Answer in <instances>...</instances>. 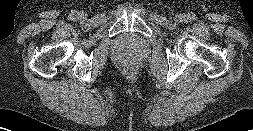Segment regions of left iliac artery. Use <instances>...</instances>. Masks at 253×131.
I'll list each match as a JSON object with an SVG mask.
<instances>
[{
    "label": "left iliac artery",
    "mask_w": 253,
    "mask_h": 131,
    "mask_svg": "<svg viewBox=\"0 0 253 131\" xmlns=\"http://www.w3.org/2000/svg\"><path fill=\"white\" fill-rule=\"evenodd\" d=\"M194 19H195V15L193 13L187 15V20L193 21Z\"/></svg>",
    "instance_id": "left-iliac-artery-1"
}]
</instances>
